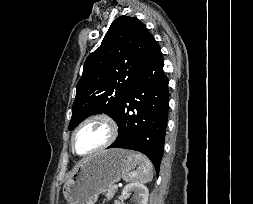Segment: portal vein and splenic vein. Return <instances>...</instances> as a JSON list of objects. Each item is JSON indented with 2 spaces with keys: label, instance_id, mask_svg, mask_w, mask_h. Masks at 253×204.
Listing matches in <instances>:
<instances>
[{
  "label": "portal vein and splenic vein",
  "instance_id": "portal-vein-and-splenic-vein-1",
  "mask_svg": "<svg viewBox=\"0 0 253 204\" xmlns=\"http://www.w3.org/2000/svg\"><path fill=\"white\" fill-rule=\"evenodd\" d=\"M114 188L117 189V188H118V185L115 184V185H114Z\"/></svg>",
  "mask_w": 253,
  "mask_h": 204
}]
</instances>
